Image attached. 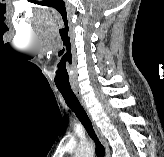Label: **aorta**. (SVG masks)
Here are the masks:
<instances>
[{"instance_id": "762f6f07", "label": "aorta", "mask_w": 164, "mask_h": 157, "mask_svg": "<svg viewBox=\"0 0 164 157\" xmlns=\"http://www.w3.org/2000/svg\"><path fill=\"white\" fill-rule=\"evenodd\" d=\"M94 147L90 142H83L79 145L74 157H93Z\"/></svg>"}]
</instances>
